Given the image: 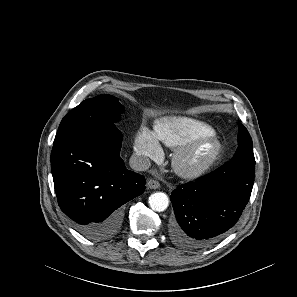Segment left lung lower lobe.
Instances as JSON below:
<instances>
[{"mask_svg": "<svg viewBox=\"0 0 297 297\" xmlns=\"http://www.w3.org/2000/svg\"><path fill=\"white\" fill-rule=\"evenodd\" d=\"M254 157H233L215 171L171 193L177 222L173 242L199 249L226 235L247 205L255 178Z\"/></svg>", "mask_w": 297, "mask_h": 297, "instance_id": "0a47b994", "label": "left lung lower lobe"}]
</instances>
